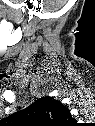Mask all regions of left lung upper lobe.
I'll return each mask as SVG.
<instances>
[{
    "mask_svg": "<svg viewBox=\"0 0 95 126\" xmlns=\"http://www.w3.org/2000/svg\"><path fill=\"white\" fill-rule=\"evenodd\" d=\"M20 126H68L72 121L70 110L53 97H42L27 108L7 117Z\"/></svg>",
    "mask_w": 95,
    "mask_h": 126,
    "instance_id": "obj_1",
    "label": "left lung upper lobe"
}]
</instances>
